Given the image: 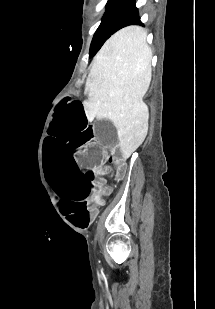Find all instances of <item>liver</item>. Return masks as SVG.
I'll list each match as a JSON object with an SVG mask.
<instances>
[{"label": "liver", "instance_id": "liver-1", "mask_svg": "<svg viewBox=\"0 0 215 309\" xmlns=\"http://www.w3.org/2000/svg\"><path fill=\"white\" fill-rule=\"evenodd\" d=\"M147 30L126 26L112 34L95 54L86 80L87 114H100L117 128L124 159L142 144L148 132V106L143 102L152 74Z\"/></svg>", "mask_w": 215, "mask_h": 309}]
</instances>
